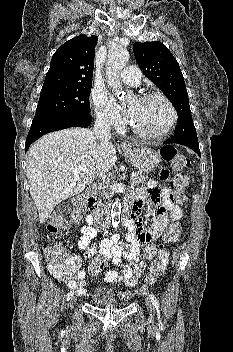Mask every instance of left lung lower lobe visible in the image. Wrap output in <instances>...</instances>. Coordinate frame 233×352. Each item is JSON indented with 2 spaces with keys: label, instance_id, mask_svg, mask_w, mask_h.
<instances>
[{
  "label": "left lung lower lobe",
  "instance_id": "obj_1",
  "mask_svg": "<svg viewBox=\"0 0 233 352\" xmlns=\"http://www.w3.org/2000/svg\"><path fill=\"white\" fill-rule=\"evenodd\" d=\"M164 143H177V144H181V145L187 146V147L191 148L193 151H195L199 156H201L200 155V150H199L198 139L174 141L171 138V139H167Z\"/></svg>",
  "mask_w": 233,
  "mask_h": 352
}]
</instances>
